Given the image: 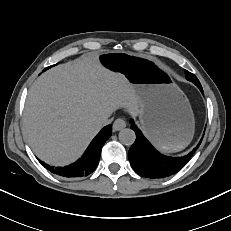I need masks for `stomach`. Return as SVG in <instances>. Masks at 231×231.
Here are the masks:
<instances>
[{"label": "stomach", "instance_id": "stomach-1", "mask_svg": "<svg viewBox=\"0 0 231 231\" xmlns=\"http://www.w3.org/2000/svg\"><path fill=\"white\" fill-rule=\"evenodd\" d=\"M98 61L133 86L141 102V128L159 149L176 152L191 142L195 121L190 103L160 62L130 52H105Z\"/></svg>", "mask_w": 231, "mask_h": 231}]
</instances>
